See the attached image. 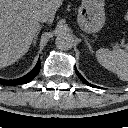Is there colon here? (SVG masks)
<instances>
[{"instance_id": "1", "label": "colon", "mask_w": 128, "mask_h": 128, "mask_svg": "<svg viewBox=\"0 0 128 128\" xmlns=\"http://www.w3.org/2000/svg\"><path fill=\"white\" fill-rule=\"evenodd\" d=\"M125 20L128 21V10L125 12Z\"/></svg>"}]
</instances>
